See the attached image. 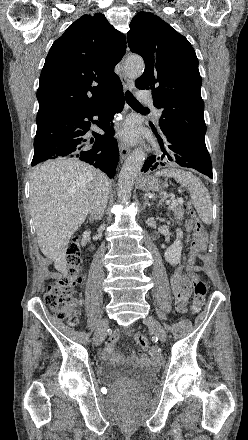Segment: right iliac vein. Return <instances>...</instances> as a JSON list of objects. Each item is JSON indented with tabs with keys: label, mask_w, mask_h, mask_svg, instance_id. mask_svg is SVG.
<instances>
[{
	"label": "right iliac vein",
	"mask_w": 248,
	"mask_h": 440,
	"mask_svg": "<svg viewBox=\"0 0 248 440\" xmlns=\"http://www.w3.org/2000/svg\"><path fill=\"white\" fill-rule=\"evenodd\" d=\"M108 326L109 320L107 318H104L98 325L93 338L96 345L101 344L104 340Z\"/></svg>",
	"instance_id": "right-iliac-vein-1"
}]
</instances>
